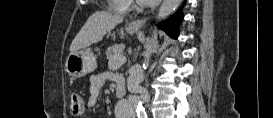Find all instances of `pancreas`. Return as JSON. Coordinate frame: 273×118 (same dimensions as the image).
I'll return each mask as SVG.
<instances>
[{
	"instance_id": "obj_1",
	"label": "pancreas",
	"mask_w": 273,
	"mask_h": 118,
	"mask_svg": "<svg viewBox=\"0 0 273 118\" xmlns=\"http://www.w3.org/2000/svg\"><path fill=\"white\" fill-rule=\"evenodd\" d=\"M122 46L118 44H114L107 48L106 56L108 59H112L115 56H120L122 54Z\"/></svg>"
}]
</instances>
